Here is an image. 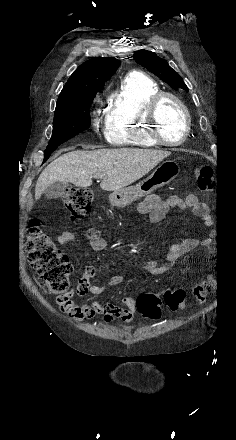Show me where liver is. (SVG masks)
I'll return each mask as SVG.
<instances>
[{
  "instance_id": "1",
  "label": "liver",
  "mask_w": 236,
  "mask_h": 440,
  "mask_svg": "<svg viewBox=\"0 0 236 440\" xmlns=\"http://www.w3.org/2000/svg\"><path fill=\"white\" fill-rule=\"evenodd\" d=\"M170 155L168 151L119 148L96 151H71L59 156L40 174L35 199L55 182L88 187L92 177L102 176L101 189L118 191L127 188Z\"/></svg>"
}]
</instances>
